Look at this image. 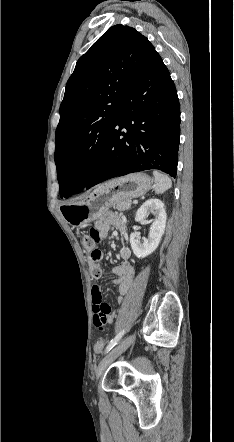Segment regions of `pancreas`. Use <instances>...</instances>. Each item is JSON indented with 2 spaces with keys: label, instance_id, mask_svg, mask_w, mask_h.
Returning <instances> with one entry per match:
<instances>
[{
  "label": "pancreas",
  "instance_id": "cf45deb5",
  "mask_svg": "<svg viewBox=\"0 0 234 442\" xmlns=\"http://www.w3.org/2000/svg\"><path fill=\"white\" fill-rule=\"evenodd\" d=\"M130 207H131V200H129V199L113 204V208L117 209L119 211L128 210V209H130Z\"/></svg>",
  "mask_w": 234,
  "mask_h": 442
}]
</instances>
